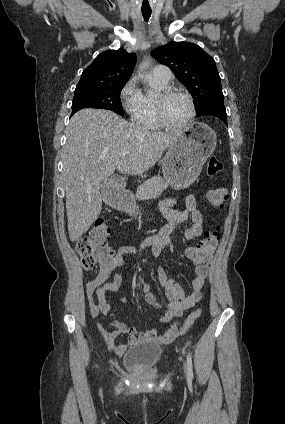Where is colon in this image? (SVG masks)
Segmentation results:
<instances>
[{
	"mask_svg": "<svg viewBox=\"0 0 285 424\" xmlns=\"http://www.w3.org/2000/svg\"><path fill=\"white\" fill-rule=\"evenodd\" d=\"M222 170V162L220 159L212 155L208 158L206 164V173L208 176H215ZM206 198L215 208H223L227 199V192L222 188H211L206 190ZM111 233V226L104 218H99L94 223L89 235L81 238L77 245V254L79 255L82 265L85 269H92L99 265L100 268L108 273L115 266L114 251L107 245L106 240ZM220 240L219 230L209 232L196 246L192 247L189 253L190 259L194 262L208 260L214 254ZM201 310H195L188 315L180 331L185 332L191 328L196 320L200 317Z\"/></svg>",
	"mask_w": 285,
	"mask_h": 424,
	"instance_id": "1",
	"label": "colon"
}]
</instances>
